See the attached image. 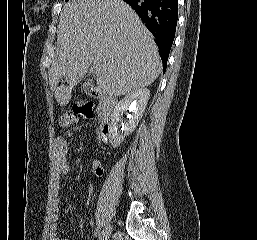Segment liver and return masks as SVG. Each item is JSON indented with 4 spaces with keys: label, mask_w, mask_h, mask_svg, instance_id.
Wrapping results in <instances>:
<instances>
[{
    "label": "liver",
    "mask_w": 257,
    "mask_h": 240,
    "mask_svg": "<svg viewBox=\"0 0 257 240\" xmlns=\"http://www.w3.org/2000/svg\"><path fill=\"white\" fill-rule=\"evenodd\" d=\"M58 30L49 78L60 106L69 103L72 88L92 63H99L101 69L98 89L110 96L144 88L161 72L153 36L123 0L67 2L59 17Z\"/></svg>",
    "instance_id": "liver-1"
}]
</instances>
